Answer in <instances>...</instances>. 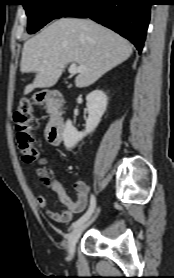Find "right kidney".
<instances>
[{"mask_svg":"<svg viewBox=\"0 0 174 278\" xmlns=\"http://www.w3.org/2000/svg\"><path fill=\"white\" fill-rule=\"evenodd\" d=\"M88 119L86 120L85 131L78 132L72 122L67 120L64 126L63 141L67 149L73 148L86 135L91 133L100 123L101 117L106 111L108 98L101 90H94L86 97Z\"/></svg>","mask_w":174,"mask_h":278,"instance_id":"obj_1","label":"right kidney"}]
</instances>
